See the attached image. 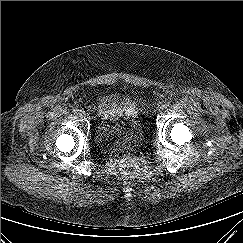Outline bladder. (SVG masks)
<instances>
[{
  "label": "bladder",
  "mask_w": 243,
  "mask_h": 243,
  "mask_svg": "<svg viewBox=\"0 0 243 243\" xmlns=\"http://www.w3.org/2000/svg\"><path fill=\"white\" fill-rule=\"evenodd\" d=\"M144 136L140 114L134 103L127 101L117 122L102 118L95 128L94 138L100 146H124L139 143Z\"/></svg>",
  "instance_id": "31cf9c89"
}]
</instances>
